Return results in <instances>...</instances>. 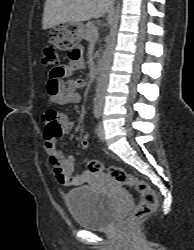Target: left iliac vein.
I'll return each instance as SVG.
<instances>
[{
	"mask_svg": "<svg viewBox=\"0 0 194 250\" xmlns=\"http://www.w3.org/2000/svg\"><path fill=\"white\" fill-rule=\"evenodd\" d=\"M97 136L101 141L105 140L104 126L101 122L97 126Z\"/></svg>",
	"mask_w": 194,
	"mask_h": 250,
	"instance_id": "1",
	"label": "left iliac vein"
}]
</instances>
